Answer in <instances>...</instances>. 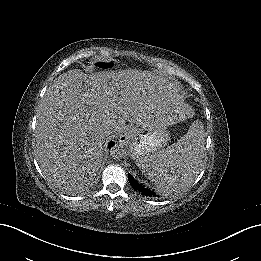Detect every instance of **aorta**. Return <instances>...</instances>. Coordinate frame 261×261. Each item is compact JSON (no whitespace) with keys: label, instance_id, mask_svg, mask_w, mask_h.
<instances>
[{"label":"aorta","instance_id":"obj_1","mask_svg":"<svg viewBox=\"0 0 261 261\" xmlns=\"http://www.w3.org/2000/svg\"><path fill=\"white\" fill-rule=\"evenodd\" d=\"M113 159L120 160L125 157V150L123 144H116L111 150Z\"/></svg>","mask_w":261,"mask_h":261}]
</instances>
